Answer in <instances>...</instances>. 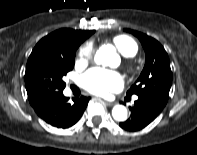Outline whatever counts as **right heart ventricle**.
I'll list each match as a JSON object with an SVG mask.
<instances>
[{"label":"right heart ventricle","mask_w":197,"mask_h":155,"mask_svg":"<svg viewBox=\"0 0 197 155\" xmlns=\"http://www.w3.org/2000/svg\"><path fill=\"white\" fill-rule=\"evenodd\" d=\"M113 43L118 51L125 57H133L138 52L137 43L126 35H119L113 38Z\"/></svg>","instance_id":"e07e8e85"}]
</instances>
